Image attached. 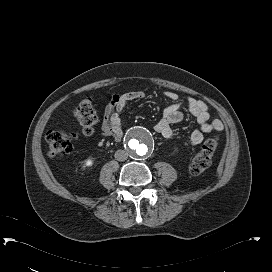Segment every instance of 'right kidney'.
<instances>
[{
  "label": "right kidney",
  "instance_id": "ca27d5eb",
  "mask_svg": "<svg viewBox=\"0 0 272 272\" xmlns=\"http://www.w3.org/2000/svg\"><path fill=\"white\" fill-rule=\"evenodd\" d=\"M94 161L92 158H88L84 161V164L82 166V169H85L87 167H91L93 165Z\"/></svg>",
  "mask_w": 272,
  "mask_h": 272
}]
</instances>
